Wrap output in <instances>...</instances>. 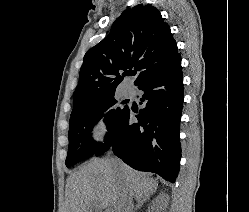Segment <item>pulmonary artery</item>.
Masks as SVG:
<instances>
[{
    "label": "pulmonary artery",
    "instance_id": "e3ab8cb5",
    "mask_svg": "<svg viewBox=\"0 0 249 212\" xmlns=\"http://www.w3.org/2000/svg\"><path fill=\"white\" fill-rule=\"evenodd\" d=\"M122 96L124 98H133L135 96V92H134V88L132 86V84L128 83L122 92Z\"/></svg>",
    "mask_w": 249,
    "mask_h": 212
}]
</instances>
